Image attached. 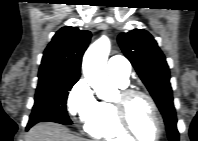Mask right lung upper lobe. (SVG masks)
Wrapping results in <instances>:
<instances>
[{
  "label": "right lung upper lobe",
  "instance_id": "cb5924a9",
  "mask_svg": "<svg viewBox=\"0 0 198 141\" xmlns=\"http://www.w3.org/2000/svg\"><path fill=\"white\" fill-rule=\"evenodd\" d=\"M90 38L89 31L71 26L61 28L44 51L39 76L80 77L82 56Z\"/></svg>",
  "mask_w": 198,
  "mask_h": 141
}]
</instances>
